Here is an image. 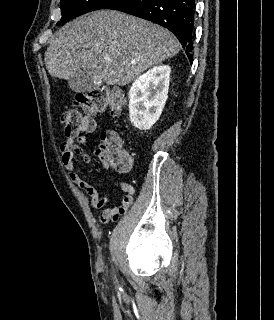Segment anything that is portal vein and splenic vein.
Listing matches in <instances>:
<instances>
[{
	"instance_id": "1",
	"label": "portal vein and splenic vein",
	"mask_w": 274,
	"mask_h": 320,
	"mask_svg": "<svg viewBox=\"0 0 274 320\" xmlns=\"http://www.w3.org/2000/svg\"><path fill=\"white\" fill-rule=\"evenodd\" d=\"M106 62H112V60H110V58H105Z\"/></svg>"
}]
</instances>
